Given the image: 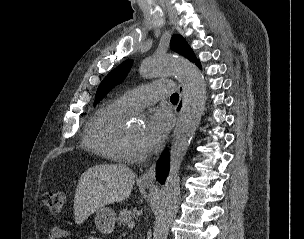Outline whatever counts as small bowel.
Wrapping results in <instances>:
<instances>
[{
  "label": "small bowel",
  "mask_w": 304,
  "mask_h": 239,
  "mask_svg": "<svg viewBox=\"0 0 304 239\" xmlns=\"http://www.w3.org/2000/svg\"><path fill=\"white\" fill-rule=\"evenodd\" d=\"M68 236V232L61 227H53L49 232V239H62Z\"/></svg>",
  "instance_id": "obj_1"
}]
</instances>
